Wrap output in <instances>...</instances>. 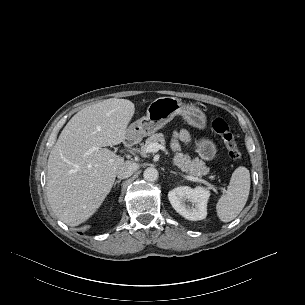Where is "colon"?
<instances>
[{"label": "colon", "instance_id": "colon-1", "mask_svg": "<svg viewBox=\"0 0 305 305\" xmlns=\"http://www.w3.org/2000/svg\"><path fill=\"white\" fill-rule=\"evenodd\" d=\"M212 128L223 140L229 157L233 160H238L240 158V151L228 123L222 118H216L212 122Z\"/></svg>", "mask_w": 305, "mask_h": 305}]
</instances>
